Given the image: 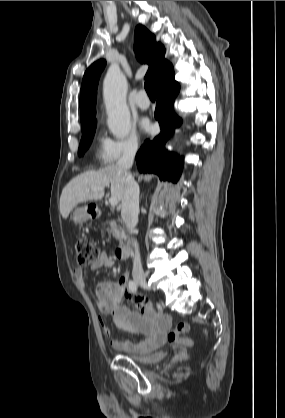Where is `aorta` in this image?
<instances>
[{"label": "aorta", "mask_w": 285, "mask_h": 418, "mask_svg": "<svg viewBox=\"0 0 285 418\" xmlns=\"http://www.w3.org/2000/svg\"><path fill=\"white\" fill-rule=\"evenodd\" d=\"M127 80L119 68H110L103 83L107 125L117 138L126 137L131 130L130 112L126 106Z\"/></svg>", "instance_id": "obj_1"}]
</instances>
